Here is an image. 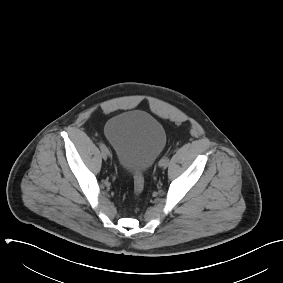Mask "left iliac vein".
<instances>
[{"mask_svg":"<svg viewBox=\"0 0 283 283\" xmlns=\"http://www.w3.org/2000/svg\"><path fill=\"white\" fill-rule=\"evenodd\" d=\"M159 166H160V167H163V168H166V167L168 166V164L161 162V163H159Z\"/></svg>","mask_w":283,"mask_h":283,"instance_id":"4c4485c4","label":"left iliac vein"}]
</instances>
